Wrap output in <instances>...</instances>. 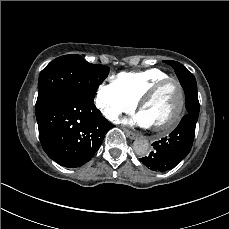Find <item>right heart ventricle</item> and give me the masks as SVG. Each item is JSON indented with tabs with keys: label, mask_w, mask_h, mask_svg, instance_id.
I'll use <instances>...</instances> for the list:
<instances>
[{
	"label": "right heart ventricle",
	"mask_w": 229,
	"mask_h": 229,
	"mask_svg": "<svg viewBox=\"0 0 229 229\" xmlns=\"http://www.w3.org/2000/svg\"><path fill=\"white\" fill-rule=\"evenodd\" d=\"M170 75L158 68H149L138 71L120 72L115 81L122 90L136 102L141 101L147 92L161 80Z\"/></svg>",
	"instance_id": "obj_1"
}]
</instances>
